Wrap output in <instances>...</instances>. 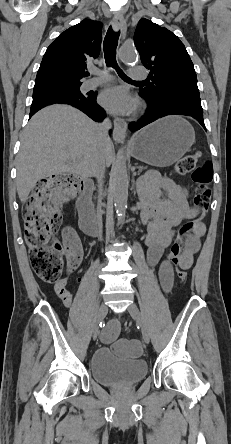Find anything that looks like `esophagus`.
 <instances>
[{
	"mask_svg": "<svg viewBox=\"0 0 231 444\" xmlns=\"http://www.w3.org/2000/svg\"><path fill=\"white\" fill-rule=\"evenodd\" d=\"M113 27L116 31L120 30L121 32V40L124 39L126 34V22L124 20V17L121 13H117L113 19ZM113 139L117 142H123L126 137V131H127V123L122 118H115L113 120Z\"/></svg>",
	"mask_w": 231,
	"mask_h": 444,
	"instance_id": "34e87169",
	"label": "esophagus"
}]
</instances>
